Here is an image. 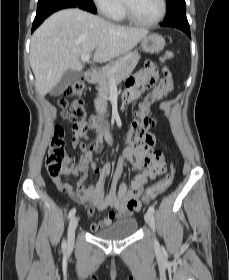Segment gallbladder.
<instances>
[{
	"label": "gallbladder",
	"mask_w": 229,
	"mask_h": 280,
	"mask_svg": "<svg viewBox=\"0 0 229 280\" xmlns=\"http://www.w3.org/2000/svg\"><path fill=\"white\" fill-rule=\"evenodd\" d=\"M82 76V72L81 71H75V70H71L68 69L62 79L60 80V82L51 90V95L53 96H58L61 93H63V91L70 85L72 84L74 81H76L77 79H79Z\"/></svg>",
	"instance_id": "gallbladder-1"
}]
</instances>
